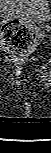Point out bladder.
<instances>
[{
  "instance_id": "obj_1",
  "label": "bladder",
  "mask_w": 51,
  "mask_h": 153,
  "mask_svg": "<svg viewBox=\"0 0 51 153\" xmlns=\"http://www.w3.org/2000/svg\"><path fill=\"white\" fill-rule=\"evenodd\" d=\"M2 9L8 14H14L22 19L43 24L50 18L49 0H1Z\"/></svg>"
}]
</instances>
